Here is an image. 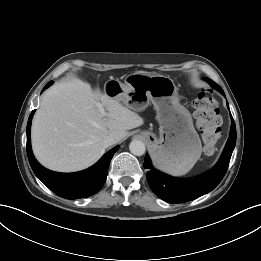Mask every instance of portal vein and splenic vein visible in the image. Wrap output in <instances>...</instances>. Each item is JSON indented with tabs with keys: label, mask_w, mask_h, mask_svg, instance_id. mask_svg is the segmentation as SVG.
Wrapping results in <instances>:
<instances>
[{
	"label": "portal vein and splenic vein",
	"mask_w": 261,
	"mask_h": 261,
	"mask_svg": "<svg viewBox=\"0 0 261 261\" xmlns=\"http://www.w3.org/2000/svg\"><path fill=\"white\" fill-rule=\"evenodd\" d=\"M97 108L99 109L100 113L103 115V116H106L107 113L105 112V109L103 107V105L101 103H97L96 104Z\"/></svg>",
	"instance_id": "obj_1"
}]
</instances>
